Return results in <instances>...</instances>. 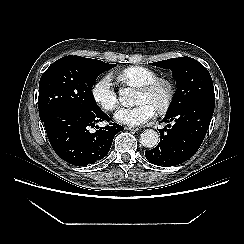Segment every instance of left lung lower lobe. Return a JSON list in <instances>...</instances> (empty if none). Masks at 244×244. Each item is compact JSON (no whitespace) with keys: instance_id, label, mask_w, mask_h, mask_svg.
Listing matches in <instances>:
<instances>
[{"instance_id":"obj_1","label":"left lung lower lobe","mask_w":244,"mask_h":244,"mask_svg":"<svg viewBox=\"0 0 244 244\" xmlns=\"http://www.w3.org/2000/svg\"><path fill=\"white\" fill-rule=\"evenodd\" d=\"M215 101L201 99L167 112L163 122H173L159 129L160 142L145 151L146 159L158 166H175L190 159L202 144L214 112Z\"/></svg>"}]
</instances>
